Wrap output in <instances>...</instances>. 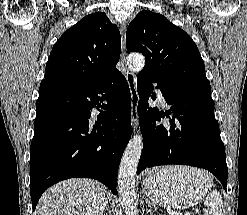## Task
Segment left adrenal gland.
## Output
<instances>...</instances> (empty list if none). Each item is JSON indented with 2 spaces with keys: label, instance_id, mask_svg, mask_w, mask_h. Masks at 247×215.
<instances>
[{
  "label": "left adrenal gland",
  "instance_id": "1",
  "mask_svg": "<svg viewBox=\"0 0 247 215\" xmlns=\"http://www.w3.org/2000/svg\"><path fill=\"white\" fill-rule=\"evenodd\" d=\"M145 201H146V204H148V206H150V205H151V202L148 200V198H147V197L145 198Z\"/></svg>",
  "mask_w": 247,
  "mask_h": 215
}]
</instances>
